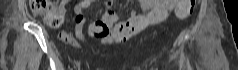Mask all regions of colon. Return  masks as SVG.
<instances>
[{
  "label": "colon",
  "instance_id": "5ec220e1",
  "mask_svg": "<svg viewBox=\"0 0 238 70\" xmlns=\"http://www.w3.org/2000/svg\"><path fill=\"white\" fill-rule=\"evenodd\" d=\"M195 3V0H179L175 9L176 16L181 19L189 17L194 11ZM30 8L34 14L42 16L51 28H58L64 21V15L50 0H30Z\"/></svg>",
  "mask_w": 238,
  "mask_h": 70
}]
</instances>
